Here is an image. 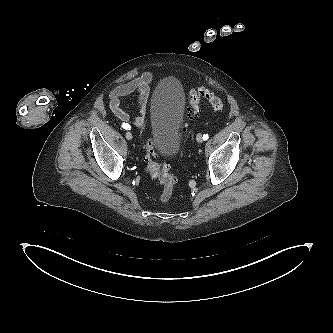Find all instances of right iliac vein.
Segmentation results:
<instances>
[{
	"mask_svg": "<svg viewBox=\"0 0 333 333\" xmlns=\"http://www.w3.org/2000/svg\"><path fill=\"white\" fill-rule=\"evenodd\" d=\"M125 136H126V139H127V140H131V139H132V137H133V136H132V133H131V132H129V131H128V132H126Z\"/></svg>",
	"mask_w": 333,
	"mask_h": 333,
	"instance_id": "1",
	"label": "right iliac vein"
}]
</instances>
